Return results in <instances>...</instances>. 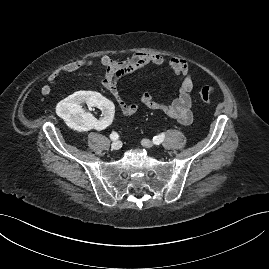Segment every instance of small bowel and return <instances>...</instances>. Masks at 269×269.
Wrapping results in <instances>:
<instances>
[{
	"label": "small bowel",
	"mask_w": 269,
	"mask_h": 269,
	"mask_svg": "<svg viewBox=\"0 0 269 269\" xmlns=\"http://www.w3.org/2000/svg\"><path fill=\"white\" fill-rule=\"evenodd\" d=\"M99 63L104 69L101 81L103 87L111 93L120 111L127 116L136 114L139 111V104L127 102L123 99L117 86L119 79L123 75L132 73L147 65L167 64L175 78L180 81L177 97L172 102L166 104L158 102L149 92H143L139 96V103L146 108L162 112L180 124L189 125L192 123L193 113L191 108L193 101L191 92L194 88V80L186 59L182 57L166 59L160 54L139 52L124 60H117L109 55H102ZM93 65L94 61L92 59L82 58L59 66L48 75L46 83L41 88V94L44 96L49 95L52 87L63 75L90 68Z\"/></svg>",
	"instance_id": "c3829d8e"
}]
</instances>
